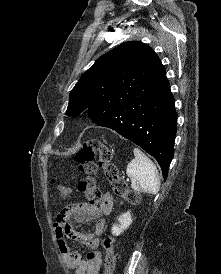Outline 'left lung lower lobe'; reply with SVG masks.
<instances>
[{"instance_id": "obj_1", "label": "left lung lower lobe", "mask_w": 221, "mask_h": 274, "mask_svg": "<svg viewBox=\"0 0 221 274\" xmlns=\"http://www.w3.org/2000/svg\"><path fill=\"white\" fill-rule=\"evenodd\" d=\"M93 122L118 132L152 155L166 180L174 155L177 114L163 65L137 97L96 114Z\"/></svg>"}]
</instances>
